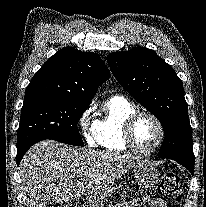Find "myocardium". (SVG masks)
Masks as SVG:
<instances>
[{"instance_id":"f54148a6","label":"myocardium","mask_w":206,"mask_h":207,"mask_svg":"<svg viewBox=\"0 0 206 207\" xmlns=\"http://www.w3.org/2000/svg\"><path fill=\"white\" fill-rule=\"evenodd\" d=\"M142 117H148L152 119L157 125L159 131V136L156 144L151 149L148 150H142L139 147H137L133 138L134 125ZM122 139L126 148L129 151L139 156H149L154 154L162 146L165 139V128L161 120L152 112L136 110L126 119V121L123 124Z\"/></svg>"}]
</instances>
